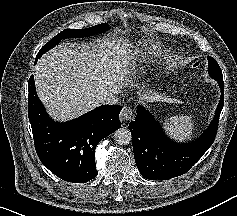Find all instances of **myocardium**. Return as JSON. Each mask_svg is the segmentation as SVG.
I'll return each instance as SVG.
<instances>
[{"label":"myocardium","mask_w":237,"mask_h":216,"mask_svg":"<svg viewBox=\"0 0 237 216\" xmlns=\"http://www.w3.org/2000/svg\"><path fill=\"white\" fill-rule=\"evenodd\" d=\"M179 62H180L179 53L176 50L168 51L163 58L160 72L163 74H170L177 68Z\"/></svg>","instance_id":"f54148a6"}]
</instances>
